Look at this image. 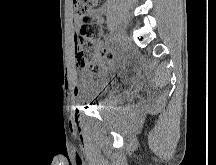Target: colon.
Segmentation results:
<instances>
[{"label":"colon","instance_id":"obj_1","mask_svg":"<svg viewBox=\"0 0 216 165\" xmlns=\"http://www.w3.org/2000/svg\"><path fill=\"white\" fill-rule=\"evenodd\" d=\"M102 0H74L76 11L80 14V27L75 34L76 66L81 72L98 74L109 62L107 53L98 52L95 43L100 37L101 29L93 15Z\"/></svg>","mask_w":216,"mask_h":165}]
</instances>
